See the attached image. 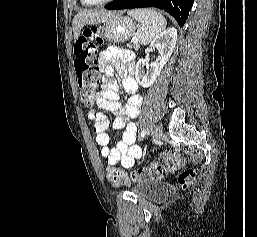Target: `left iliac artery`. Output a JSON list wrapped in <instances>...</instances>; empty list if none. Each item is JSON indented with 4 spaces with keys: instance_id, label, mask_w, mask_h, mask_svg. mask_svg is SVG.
Wrapping results in <instances>:
<instances>
[{
    "instance_id": "left-iliac-artery-1",
    "label": "left iliac artery",
    "mask_w": 257,
    "mask_h": 237,
    "mask_svg": "<svg viewBox=\"0 0 257 237\" xmlns=\"http://www.w3.org/2000/svg\"><path fill=\"white\" fill-rule=\"evenodd\" d=\"M147 130L143 129L142 132L140 133V139L144 138V136L146 135Z\"/></svg>"
}]
</instances>
